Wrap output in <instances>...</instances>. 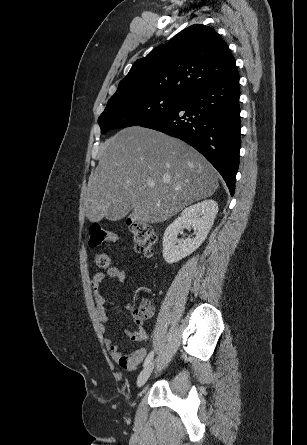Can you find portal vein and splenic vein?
Listing matches in <instances>:
<instances>
[{
  "label": "portal vein and splenic vein",
  "mask_w": 307,
  "mask_h": 445,
  "mask_svg": "<svg viewBox=\"0 0 307 445\" xmlns=\"http://www.w3.org/2000/svg\"><path fill=\"white\" fill-rule=\"evenodd\" d=\"M149 184H151V186H154L155 182H151V180H150ZM179 188H181V186H177V188H175V190H179Z\"/></svg>",
  "instance_id": "obj_1"
}]
</instances>
